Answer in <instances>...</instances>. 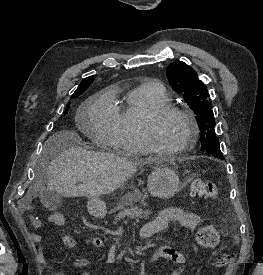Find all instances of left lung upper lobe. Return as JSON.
Masks as SVG:
<instances>
[{
  "instance_id": "left-lung-upper-lobe-1",
  "label": "left lung upper lobe",
  "mask_w": 263,
  "mask_h": 275,
  "mask_svg": "<svg viewBox=\"0 0 263 275\" xmlns=\"http://www.w3.org/2000/svg\"><path fill=\"white\" fill-rule=\"evenodd\" d=\"M166 74L173 90L184 96L189 107L197 115L202 149L216 157L223 156L214 130L215 119L209 94L206 86L198 79L197 73L184 62L176 61L167 67Z\"/></svg>"
}]
</instances>
